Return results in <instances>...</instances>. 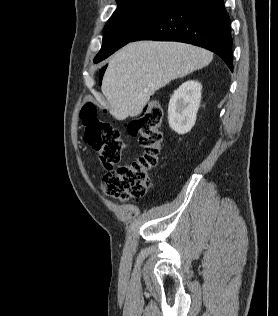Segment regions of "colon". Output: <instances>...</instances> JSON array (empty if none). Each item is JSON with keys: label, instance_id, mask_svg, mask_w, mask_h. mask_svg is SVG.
Masks as SVG:
<instances>
[{"label": "colon", "instance_id": "obj_1", "mask_svg": "<svg viewBox=\"0 0 278 316\" xmlns=\"http://www.w3.org/2000/svg\"><path fill=\"white\" fill-rule=\"evenodd\" d=\"M84 140L98 153L102 165L107 169L101 182L102 192L111 198L128 199L144 196L151 186L150 172L158 165L161 153V123L163 110L159 103L146 105L141 117L133 120L128 130L139 136L144 154L136 161L120 164L124 142L120 131L102 120L92 103L81 111Z\"/></svg>", "mask_w": 278, "mask_h": 316}]
</instances>
